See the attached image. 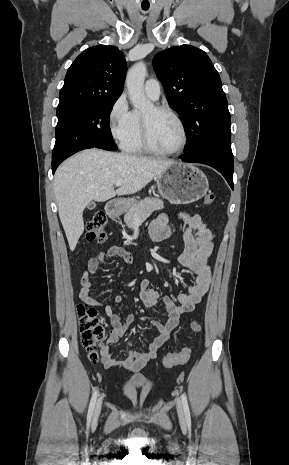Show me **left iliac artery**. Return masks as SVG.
Masks as SVG:
<instances>
[{"label": "left iliac artery", "mask_w": 289, "mask_h": 465, "mask_svg": "<svg viewBox=\"0 0 289 465\" xmlns=\"http://www.w3.org/2000/svg\"><path fill=\"white\" fill-rule=\"evenodd\" d=\"M181 400H182V405H183L186 421L188 424H190L191 423L190 410H189L186 395L184 393L181 394Z\"/></svg>", "instance_id": "obj_1"}]
</instances>
